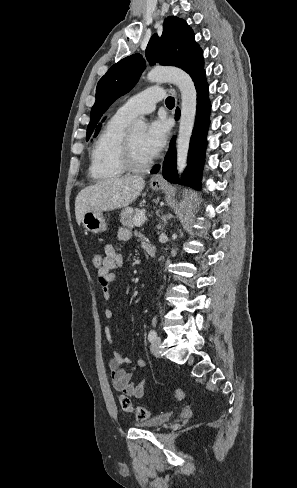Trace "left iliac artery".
I'll return each instance as SVG.
<instances>
[{
	"mask_svg": "<svg viewBox=\"0 0 297 488\" xmlns=\"http://www.w3.org/2000/svg\"><path fill=\"white\" fill-rule=\"evenodd\" d=\"M157 338V333L155 330H151L148 334V339L150 342H153Z\"/></svg>",
	"mask_w": 297,
	"mask_h": 488,
	"instance_id": "1",
	"label": "left iliac artery"
}]
</instances>
